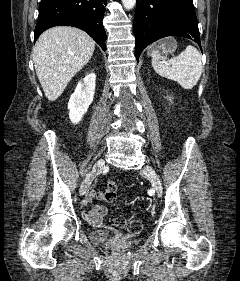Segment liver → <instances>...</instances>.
Listing matches in <instances>:
<instances>
[{
    "label": "liver",
    "instance_id": "liver-1",
    "mask_svg": "<svg viewBox=\"0 0 240 281\" xmlns=\"http://www.w3.org/2000/svg\"><path fill=\"white\" fill-rule=\"evenodd\" d=\"M94 49V40L74 27L57 26L41 34L33 48V62L49 101L58 99L70 80L88 63Z\"/></svg>",
    "mask_w": 240,
    "mask_h": 281
}]
</instances>
